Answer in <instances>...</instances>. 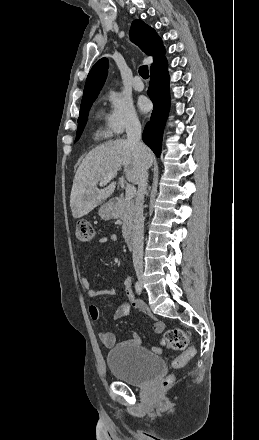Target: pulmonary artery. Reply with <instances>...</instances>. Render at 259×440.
Wrapping results in <instances>:
<instances>
[{
	"label": "pulmonary artery",
	"instance_id": "1",
	"mask_svg": "<svg viewBox=\"0 0 259 440\" xmlns=\"http://www.w3.org/2000/svg\"><path fill=\"white\" fill-rule=\"evenodd\" d=\"M133 88L136 91H142L144 89V84L139 76H135L133 81Z\"/></svg>",
	"mask_w": 259,
	"mask_h": 440
}]
</instances>
